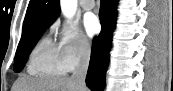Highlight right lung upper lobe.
I'll list each match as a JSON object with an SVG mask.
<instances>
[{"mask_svg": "<svg viewBox=\"0 0 173 91\" xmlns=\"http://www.w3.org/2000/svg\"><path fill=\"white\" fill-rule=\"evenodd\" d=\"M59 13V0H30L22 32L29 31L43 24L51 25Z\"/></svg>", "mask_w": 173, "mask_h": 91, "instance_id": "right-lung-upper-lobe-1", "label": "right lung upper lobe"}]
</instances>
